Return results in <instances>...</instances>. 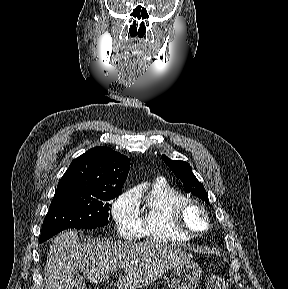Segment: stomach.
<instances>
[{"label": "stomach", "mask_w": 288, "mask_h": 289, "mask_svg": "<svg viewBox=\"0 0 288 289\" xmlns=\"http://www.w3.org/2000/svg\"><path fill=\"white\" fill-rule=\"evenodd\" d=\"M201 278V267L197 263L187 262L174 268L171 286L173 289H196Z\"/></svg>", "instance_id": "0dacf381"}]
</instances>
